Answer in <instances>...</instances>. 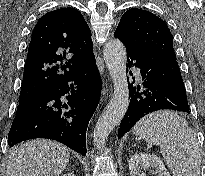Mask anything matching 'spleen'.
Instances as JSON below:
<instances>
[{
  "instance_id": "spleen-1",
  "label": "spleen",
  "mask_w": 205,
  "mask_h": 176,
  "mask_svg": "<svg viewBox=\"0 0 205 176\" xmlns=\"http://www.w3.org/2000/svg\"><path fill=\"white\" fill-rule=\"evenodd\" d=\"M134 134L159 145L173 176H200L199 142L187 121L172 111L153 112L134 126Z\"/></svg>"
}]
</instances>
